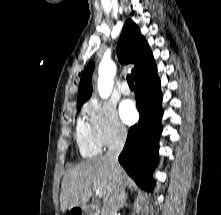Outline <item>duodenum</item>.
Masks as SVG:
<instances>
[{
	"label": "duodenum",
	"mask_w": 221,
	"mask_h": 215,
	"mask_svg": "<svg viewBox=\"0 0 221 215\" xmlns=\"http://www.w3.org/2000/svg\"><path fill=\"white\" fill-rule=\"evenodd\" d=\"M88 206L76 207L72 211V215H88Z\"/></svg>",
	"instance_id": "duodenum-1"
}]
</instances>
